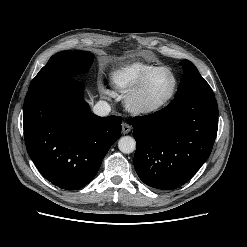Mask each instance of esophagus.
I'll return each instance as SVG.
<instances>
[{"mask_svg":"<svg viewBox=\"0 0 247 247\" xmlns=\"http://www.w3.org/2000/svg\"><path fill=\"white\" fill-rule=\"evenodd\" d=\"M131 131V126L127 123L122 124V133L128 134Z\"/></svg>","mask_w":247,"mask_h":247,"instance_id":"obj_1","label":"esophagus"}]
</instances>
